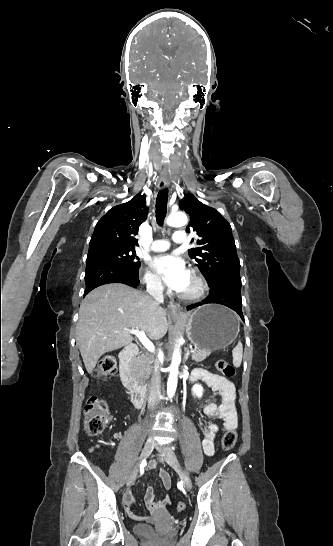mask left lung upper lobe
I'll use <instances>...</instances> for the list:
<instances>
[{"mask_svg": "<svg viewBox=\"0 0 333 546\" xmlns=\"http://www.w3.org/2000/svg\"><path fill=\"white\" fill-rule=\"evenodd\" d=\"M179 206L190 216L186 231H196L199 236L198 247L189 249V256L197 263L208 285L219 277L240 274L232 229L226 219L192 194L180 200Z\"/></svg>", "mask_w": 333, "mask_h": 546, "instance_id": "5c2ea615", "label": "left lung upper lobe"}]
</instances>
